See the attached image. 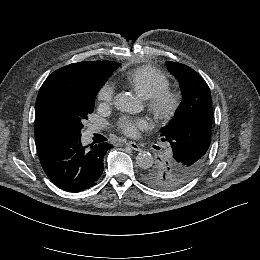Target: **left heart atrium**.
<instances>
[{
    "mask_svg": "<svg viewBox=\"0 0 260 260\" xmlns=\"http://www.w3.org/2000/svg\"><path fill=\"white\" fill-rule=\"evenodd\" d=\"M150 126L149 121L144 118H132L123 116L117 122V128L127 136L136 137L139 130H145Z\"/></svg>",
    "mask_w": 260,
    "mask_h": 260,
    "instance_id": "left-heart-atrium-1",
    "label": "left heart atrium"
}]
</instances>
